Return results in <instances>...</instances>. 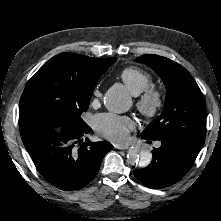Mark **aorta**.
Instances as JSON below:
<instances>
[{
    "instance_id": "aorta-1",
    "label": "aorta",
    "mask_w": 221,
    "mask_h": 221,
    "mask_svg": "<svg viewBox=\"0 0 221 221\" xmlns=\"http://www.w3.org/2000/svg\"><path fill=\"white\" fill-rule=\"evenodd\" d=\"M132 100L123 86H113L105 93V107L115 113H123L129 110ZM128 162L136 167H147L152 160V153L142 147L132 146L127 153Z\"/></svg>"
}]
</instances>
